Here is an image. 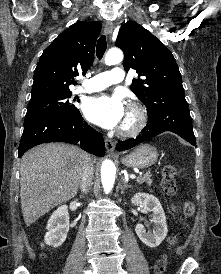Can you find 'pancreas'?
<instances>
[{
	"instance_id": "pancreas-1",
	"label": "pancreas",
	"mask_w": 221,
	"mask_h": 274,
	"mask_svg": "<svg viewBox=\"0 0 221 274\" xmlns=\"http://www.w3.org/2000/svg\"><path fill=\"white\" fill-rule=\"evenodd\" d=\"M137 182L139 184H142V183H147L148 185H151L152 184V179H151V174L150 173H146L144 174L142 177H140Z\"/></svg>"
}]
</instances>
